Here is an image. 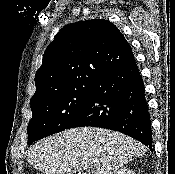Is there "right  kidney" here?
Here are the masks:
<instances>
[{
	"mask_svg": "<svg viewBox=\"0 0 175 174\" xmlns=\"http://www.w3.org/2000/svg\"><path fill=\"white\" fill-rule=\"evenodd\" d=\"M116 174H135V173L131 169L123 168L118 170Z\"/></svg>",
	"mask_w": 175,
	"mask_h": 174,
	"instance_id": "ca27d5eb",
	"label": "right kidney"
}]
</instances>
